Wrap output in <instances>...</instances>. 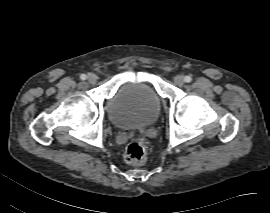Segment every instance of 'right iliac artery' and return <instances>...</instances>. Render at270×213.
Masks as SVG:
<instances>
[{
    "mask_svg": "<svg viewBox=\"0 0 270 213\" xmlns=\"http://www.w3.org/2000/svg\"><path fill=\"white\" fill-rule=\"evenodd\" d=\"M80 78H81L82 80H86L87 76H86L85 74H82V75L80 76Z\"/></svg>",
    "mask_w": 270,
    "mask_h": 213,
    "instance_id": "82829eb1",
    "label": "right iliac artery"
}]
</instances>
